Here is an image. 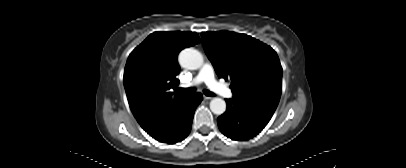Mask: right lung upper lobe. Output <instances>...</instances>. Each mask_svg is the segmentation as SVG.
<instances>
[{"mask_svg": "<svg viewBox=\"0 0 406 168\" xmlns=\"http://www.w3.org/2000/svg\"><path fill=\"white\" fill-rule=\"evenodd\" d=\"M198 42L195 32H154L129 55L124 87L131 111L146 132L186 98L170 91L179 84L177 56L183 48Z\"/></svg>", "mask_w": 406, "mask_h": 168, "instance_id": "cb5924a9", "label": "right lung upper lobe"}]
</instances>
